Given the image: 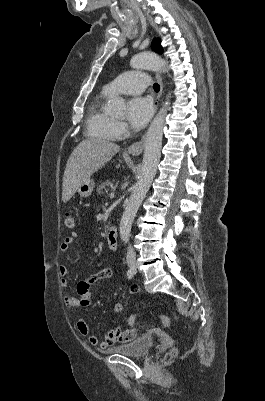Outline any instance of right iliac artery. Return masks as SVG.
Here are the masks:
<instances>
[{"label":"right iliac artery","mask_w":265,"mask_h":401,"mask_svg":"<svg viewBox=\"0 0 265 401\" xmlns=\"http://www.w3.org/2000/svg\"><path fill=\"white\" fill-rule=\"evenodd\" d=\"M133 276H134L133 270H132V269H128V271H127V278H128V279H132Z\"/></svg>","instance_id":"82829eb1"}]
</instances>
